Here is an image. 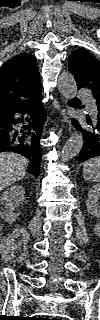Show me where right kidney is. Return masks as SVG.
Here are the masks:
<instances>
[{
    "mask_svg": "<svg viewBox=\"0 0 100 320\" xmlns=\"http://www.w3.org/2000/svg\"><path fill=\"white\" fill-rule=\"evenodd\" d=\"M25 200V189L21 185H13L3 192L0 196V202L5 209L1 211V218L6 222L13 223L18 214L15 208Z\"/></svg>",
    "mask_w": 100,
    "mask_h": 320,
    "instance_id": "right-kidney-1",
    "label": "right kidney"
}]
</instances>
